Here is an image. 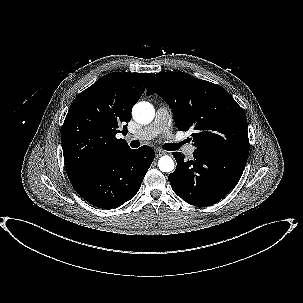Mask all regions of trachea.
<instances>
[{
    "mask_svg": "<svg viewBox=\"0 0 303 303\" xmlns=\"http://www.w3.org/2000/svg\"><path fill=\"white\" fill-rule=\"evenodd\" d=\"M139 145H140V143H139L138 140H134V141L131 142V146L133 148H137ZM180 145H181L180 143L179 144H176V143H167L166 144V149L168 151H173V150L178 149L180 147Z\"/></svg>",
    "mask_w": 303,
    "mask_h": 303,
    "instance_id": "1",
    "label": "trachea"
}]
</instances>
